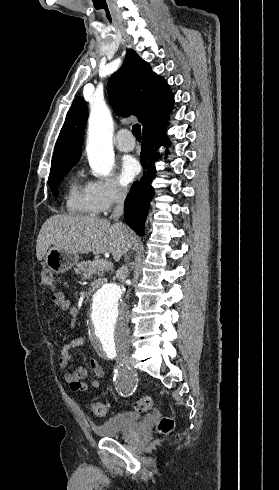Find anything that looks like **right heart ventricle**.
<instances>
[{
  "instance_id": "obj_1",
  "label": "right heart ventricle",
  "mask_w": 279,
  "mask_h": 490,
  "mask_svg": "<svg viewBox=\"0 0 279 490\" xmlns=\"http://www.w3.org/2000/svg\"><path fill=\"white\" fill-rule=\"evenodd\" d=\"M70 210L81 215L91 216L85 193L82 192L76 185L70 188V199L68 202Z\"/></svg>"
}]
</instances>
